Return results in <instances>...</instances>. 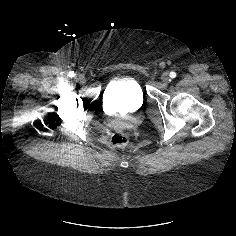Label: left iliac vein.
Here are the masks:
<instances>
[{"instance_id": "left-iliac-vein-1", "label": "left iliac vein", "mask_w": 236, "mask_h": 236, "mask_svg": "<svg viewBox=\"0 0 236 236\" xmlns=\"http://www.w3.org/2000/svg\"><path fill=\"white\" fill-rule=\"evenodd\" d=\"M161 80L163 83H168L170 80L169 75L167 73H163L161 76Z\"/></svg>"}]
</instances>
